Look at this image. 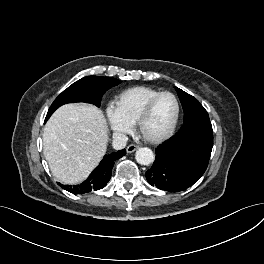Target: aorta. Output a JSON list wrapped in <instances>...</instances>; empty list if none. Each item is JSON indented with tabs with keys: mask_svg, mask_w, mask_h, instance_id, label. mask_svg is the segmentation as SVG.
I'll return each instance as SVG.
<instances>
[{
	"mask_svg": "<svg viewBox=\"0 0 264 264\" xmlns=\"http://www.w3.org/2000/svg\"><path fill=\"white\" fill-rule=\"evenodd\" d=\"M135 158L139 164L149 165L154 160V154L150 148L142 147L136 151Z\"/></svg>",
	"mask_w": 264,
	"mask_h": 264,
	"instance_id": "aorta-1",
	"label": "aorta"
}]
</instances>
